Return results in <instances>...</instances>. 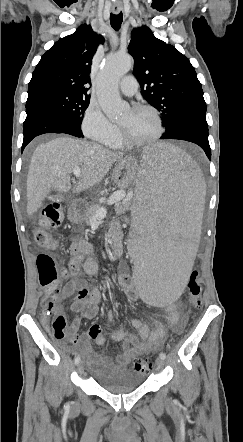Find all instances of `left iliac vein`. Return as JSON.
<instances>
[{"label": "left iliac vein", "instance_id": "left-iliac-vein-1", "mask_svg": "<svg viewBox=\"0 0 243 442\" xmlns=\"http://www.w3.org/2000/svg\"><path fill=\"white\" fill-rule=\"evenodd\" d=\"M155 364H156V367H157L158 370H161L164 367V361L160 357L156 358Z\"/></svg>", "mask_w": 243, "mask_h": 442}]
</instances>
